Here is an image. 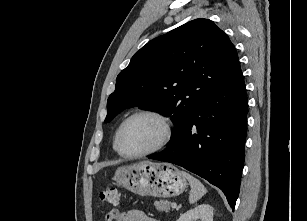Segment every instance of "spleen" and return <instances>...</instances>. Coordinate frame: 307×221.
<instances>
[{
  "label": "spleen",
  "mask_w": 307,
  "mask_h": 221,
  "mask_svg": "<svg viewBox=\"0 0 307 221\" xmlns=\"http://www.w3.org/2000/svg\"><path fill=\"white\" fill-rule=\"evenodd\" d=\"M183 176L188 180L191 191L189 195V202L191 204L196 203L204 194H206L207 190L204 185L195 177L190 175L187 172L182 171Z\"/></svg>",
  "instance_id": "3e777b00"
}]
</instances>
